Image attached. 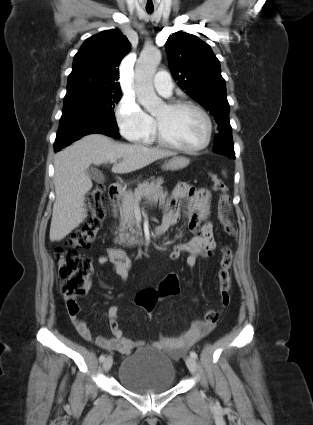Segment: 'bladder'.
Returning a JSON list of instances; mask_svg holds the SVG:
<instances>
[{"label":"bladder","mask_w":313,"mask_h":425,"mask_svg":"<svg viewBox=\"0 0 313 425\" xmlns=\"http://www.w3.org/2000/svg\"><path fill=\"white\" fill-rule=\"evenodd\" d=\"M117 377L119 383L132 393H160L174 386L176 370L164 351L146 347L121 362Z\"/></svg>","instance_id":"bladder-1"}]
</instances>
